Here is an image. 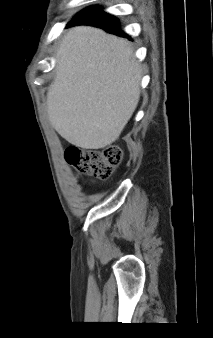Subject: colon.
I'll list each match as a JSON object with an SVG mask.
<instances>
[{
  "mask_svg": "<svg viewBox=\"0 0 213 338\" xmlns=\"http://www.w3.org/2000/svg\"><path fill=\"white\" fill-rule=\"evenodd\" d=\"M122 157L118 145H108L99 150L82 149L74 146L64 152L66 162L76 171L100 180L112 176Z\"/></svg>",
  "mask_w": 213,
  "mask_h": 338,
  "instance_id": "1",
  "label": "colon"
}]
</instances>
